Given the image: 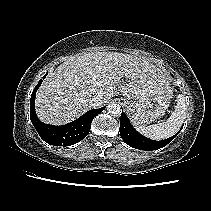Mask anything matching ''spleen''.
I'll return each mask as SVG.
<instances>
[{
    "instance_id": "1",
    "label": "spleen",
    "mask_w": 211,
    "mask_h": 211,
    "mask_svg": "<svg viewBox=\"0 0 211 211\" xmlns=\"http://www.w3.org/2000/svg\"><path fill=\"white\" fill-rule=\"evenodd\" d=\"M176 101L175 110L166 122L147 127L139 126L136 129L146 137L154 140H162L174 135L185 119L186 110L185 98L182 95H179Z\"/></svg>"
}]
</instances>
